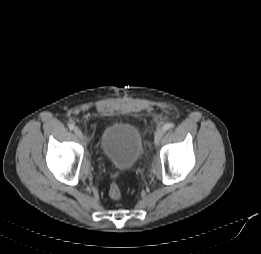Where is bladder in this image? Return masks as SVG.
<instances>
[{
    "label": "bladder",
    "instance_id": "bladder-1",
    "mask_svg": "<svg viewBox=\"0 0 261 254\" xmlns=\"http://www.w3.org/2000/svg\"><path fill=\"white\" fill-rule=\"evenodd\" d=\"M102 155L120 169L136 164L143 153L139 130L129 123H114L108 126L100 140Z\"/></svg>",
    "mask_w": 261,
    "mask_h": 254
}]
</instances>
